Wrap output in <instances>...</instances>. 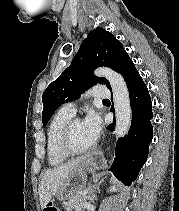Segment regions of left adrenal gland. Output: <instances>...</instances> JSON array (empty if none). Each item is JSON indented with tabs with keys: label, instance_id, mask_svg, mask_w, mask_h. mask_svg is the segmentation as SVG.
I'll return each instance as SVG.
<instances>
[{
	"label": "left adrenal gland",
	"instance_id": "1",
	"mask_svg": "<svg viewBox=\"0 0 179 211\" xmlns=\"http://www.w3.org/2000/svg\"><path fill=\"white\" fill-rule=\"evenodd\" d=\"M99 184L90 187V193L92 194V200L96 198L97 189H99Z\"/></svg>",
	"mask_w": 179,
	"mask_h": 211
}]
</instances>
